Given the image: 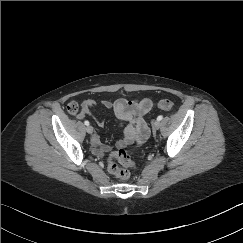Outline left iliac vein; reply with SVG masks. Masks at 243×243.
<instances>
[{
    "mask_svg": "<svg viewBox=\"0 0 243 243\" xmlns=\"http://www.w3.org/2000/svg\"><path fill=\"white\" fill-rule=\"evenodd\" d=\"M160 128V122L158 120L154 121L153 129L158 130Z\"/></svg>",
    "mask_w": 243,
    "mask_h": 243,
    "instance_id": "4c4485c4",
    "label": "left iliac vein"
}]
</instances>
